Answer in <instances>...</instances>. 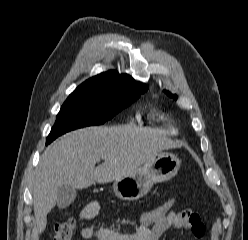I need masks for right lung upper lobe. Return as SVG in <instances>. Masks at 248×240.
Here are the masks:
<instances>
[{
  "mask_svg": "<svg viewBox=\"0 0 248 240\" xmlns=\"http://www.w3.org/2000/svg\"><path fill=\"white\" fill-rule=\"evenodd\" d=\"M129 81L135 80L128 74H119L117 71H108L86 80L75 91L115 88L118 85Z\"/></svg>",
  "mask_w": 248,
  "mask_h": 240,
  "instance_id": "cb5924a9",
  "label": "right lung upper lobe"
}]
</instances>
